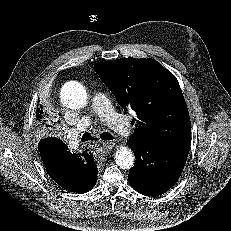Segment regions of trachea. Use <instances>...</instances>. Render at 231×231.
Instances as JSON below:
<instances>
[{
    "label": "trachea",
    "mask_w": 231,
    "mask_h": 231,
    "mask_svg": "<svg viewBox=\"0 0 231 231\" xmlns=\"http://www.w3.org/2000/svg\"><path fill=\"white\" fill-rule=\"evenodd\" d=\"M100 138L102 140H105V141H109V140H113L114 137L108 133V132H103L100 134ZM93 140H97L96 138L92 137L90 133H84L82 138H81V141L82 142H86V141H93Z\"/></svg>",
    "instance_id": "trachea-1"
}]
</instances>
